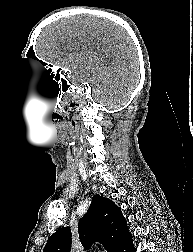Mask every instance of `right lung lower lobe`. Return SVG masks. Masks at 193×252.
<instances>
[{"mask_svg":"<svg viewBox=\"0 0 193 252\" xmlns=\"http://www.w3.org/2000/svg\"><path fill=\"white\" fill-rule=\"evenodd\" d=\"M135 248L132 244V237L131 235L121 244L115 252H135Z\"/></svg>","mask_w":193,"mask_h":252,"instance_id":"right-lung-lower-lobe-1","label":"right lung lower lobe"}]
</instances>
